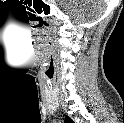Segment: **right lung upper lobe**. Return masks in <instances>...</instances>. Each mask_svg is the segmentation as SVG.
I'll return each mask as SVG.
<instances>
[{"label": "right lung upper lobe", "mask_w": 124, "mask_h": 123, "mask_svg": "<svg viewBox=\"0 0 124 123\" xmlns=\"http://www.w3.org/2000/svg\"><path fill=\"white\" fill-rule=\"evenodd\" d=\"M65 122H67V123H73L72 119H70L69 117H66Z\"/></svg>", "instance_id": "right-lung-upper-lobe-1"}]
</instances>
